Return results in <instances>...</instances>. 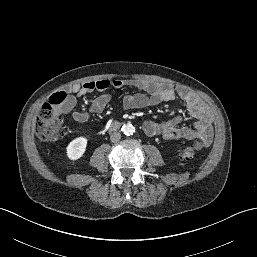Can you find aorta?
Masks as SVG:
<instances>
[{
    "label": "aorta",
    "instance_id": "aorta-1",
    "mask_svg": "<svg viewBox=\"0 0 257 257\" xmlns=\"http://www.w3.org/2000/svg\"><path fill=\"white\" fill-rule=\"evenodd\" d=\"M122 132L127 136L133 135L135 127L132 124H125L122 126Z\"/></svg>",
    "mask_w": 257,
    "mask_h": 257
}]
</instances>
